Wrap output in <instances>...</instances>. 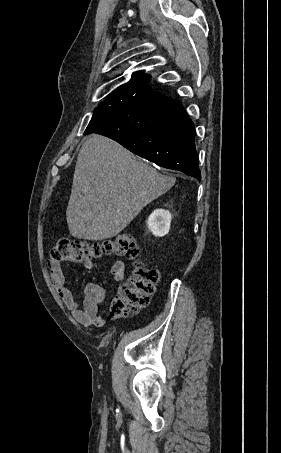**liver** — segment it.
I'll return each instance as SVG.
<instances>
[{
	"mask_svg": "<svg viewBox=\"0 0 281 453\" xmlns=\"http://www.w3.org/2000/svg\"><path fill=\"white\" fill-rule=\"evenodd\" d=\"M175 180L135 160L115 140L90 134L78 152L66 210L70 235L86 241L116 237Z\"/></svg>",
	"mask_w": 281,
	"mask_h": 453,
	"instance_id": "liver-1",
	"label": "liver"
}]
</instances>
